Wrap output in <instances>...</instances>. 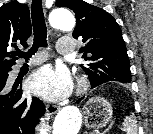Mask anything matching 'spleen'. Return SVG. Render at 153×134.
<instances>
[{
  "label": "spleen",
  "mask_w": 153,
  "mask_h": 134,
  "mask_svg": "<svg viewBox=\"0 0 153 134\" xmlns=\"http://www.w3.org/2000/svg\"><path fill=\"white\" fill-rule=\"evenodd\" d=\"M122 130L127 134H137V124L133 114L125 117L122 123Z\"/></svg>",
  "instance_id": "obj_1"
}]
</instances>
